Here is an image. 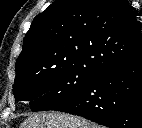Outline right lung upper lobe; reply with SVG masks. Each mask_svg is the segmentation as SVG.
<instances>
[{
	"label": "right lung upper lobe",
	"instance_id": "cb5924a9",
	"mask_svg": "<svg viewBox=\"0 0 142 128\" xmlns=\"http://www.w3.org/2000/svg\"><path fill=\"white\" fill-rule=\"evenodd\" d=\"M126 0H56L37 15L16 61V78L64 66L94 74L142 54V36Z\"/></svg>",
	"mask_w": 142,
	"mask_h": 128
}]
</instances>
